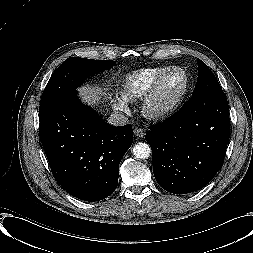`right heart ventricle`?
<instances>
[{"label": "right heart ventricle", "instance_id": "obj_1", "mask_svg": "<svg viewBox=\"0 0 253 253\" xmlns=\"http://www.w3.org/2000/svg\"><path fill=\"white\" fill-rule=\"evenodd\" d=\"M169 67L143 68L124 75L117 87L120 99L128 103L140 100L146 94L156 77Z\"/></svg>", "mask_w": 253, "mask_h": 253}]
</instances>
